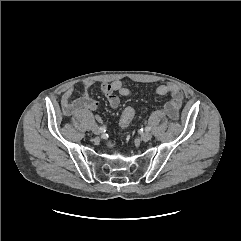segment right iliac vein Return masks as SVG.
<instances>
[{
  "mask_svg": "<svg viewBox=\"0 0 241 241\" xmlns=\"http://www.w3.org/2000/svg\"><path fill=\"white\" fill-rule=\"evenodd\" d=\"M92 132H93L94 134H100V133H101V130H100L99 127L94 126V127L92 128Z\"/></svg>",
  "mask_w": 241,
  "mask_h": 241,
  "instance_id": "right-iliac-vein-1",
  "label": "right iliac vein"
}]
</instances>
